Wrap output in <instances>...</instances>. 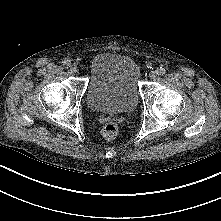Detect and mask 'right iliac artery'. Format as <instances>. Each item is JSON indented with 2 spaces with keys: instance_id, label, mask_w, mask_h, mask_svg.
<instances>
[{
  "instance_id": "82829eb1",
  "label": "right iliac artery",
  "mask_w": 221,
  "mask_h": 221,
  "mask_svg": "<svg viewBox=\"0 0 221 221\" xmlns=\"http://www.w3.org/2000/svg\"><path fill=\"white\" fill-rule=\"evenodd\" d=\"M63 66H64L65 68H69V67L71 66V62H70L69 60H64V61H63Z\"/></svg>"
}]
</instances>
